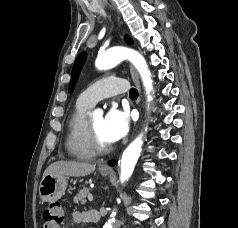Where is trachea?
<instances>
[{"label": "trachea", "mask_w": 238, "mask_h": 228, "mask_svg": "<svg viewBox=\"0 0 238 228\" xmlns=\"http://www.w3.org/2000/svg\"><path fill=\"white\" fill-rule=\"evenodd\" d=\"M129 96L131 99H137L138 91L135 88H131L129 91Z\"/></svg>", "instance_id": "obj_1"}]
</instances>
